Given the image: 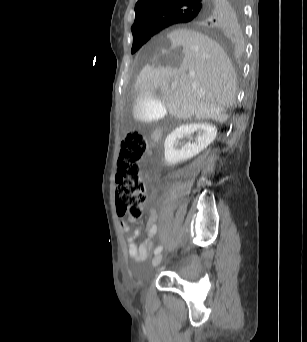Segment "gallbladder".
<instances>
[{"label": "gallbladder", "mask_w": 307, "mask_h": 342, "mask_svg": "<svg viewBox=\"0 0 307 342\" xmlns=\"http://www.w3.org/2000/svg\"><path fill=\"white\" fill-rule=\"evenodd\" d=\"M135 116L141 123H155L156 118H165L166 112L161 99H154L153 95H135Z\"/></svg>", "instance_id": "gallbladder-1"}]
</instances>
